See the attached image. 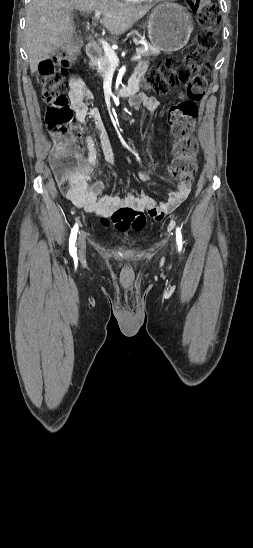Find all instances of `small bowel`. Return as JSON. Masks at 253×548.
Here are the masks:
<instances>
[{"instance_id": "c3829d8e", "label": "small bowel", "mask_w": 253, "mask_h": 548, "mask_svg": "<svg viewBox=\"0 0 253 548\" xmlns=\"http://www.w3.org/2000/svg\"><path fill=\"white\" fill-rule=\"evenodd\" d=\"M145 70L146 64H139L132 80H139ZM68 97L76 113L77 122L84 124L87 119L92 121L104 159L109 165H114L115 158L109 137L99 111L96 108L88 109L87 101L92 99V94L81 77L74 75L69 79ZM130 104L134 107L143 106L148 111H155L160 106L155 97L143 93L132 96ZM85 147L87 155L78 159L76 169L67 185L64 186L58 182L62 193L73 205L86 213L97 214L105 225L109 224L111 219L120 231H126L130 227L140 231L145 226L144 212L147 211L154 220L161 221L183 203L190 193L191 183H186L179 178L176 189L169 193L165 202L157 203L146 193L140 195L128 193L124 198L117 195H102L104 183L101 180L92 181L100 175V170L95 167L99 153L97 142L89 133L85 135ZM139 177L143 181L149 180V175L144 171L139 173Z\"/></svg>"}]
</instances>
